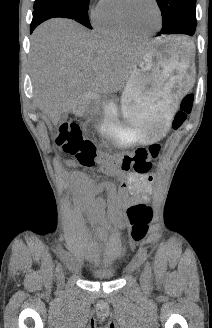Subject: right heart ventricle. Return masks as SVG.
<instances>
[{"label":"right heart ventricle","instance_id":"obj_1","mask_svg":"<svg viewBox=\"0 0 212 328\" xmlns=\"http://www.w3.org/2000/svg\"><path fill=\"white\" fill-rule=\"evenodd\" d=\"M120 0H103L94 19L97 29L104 35L116 39L139 37L124 24L120 13Z\"/></svg>","mask_w":212,"mask_h":328}]
</instances>
